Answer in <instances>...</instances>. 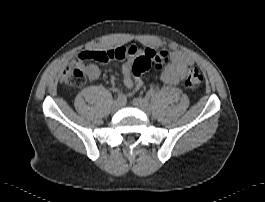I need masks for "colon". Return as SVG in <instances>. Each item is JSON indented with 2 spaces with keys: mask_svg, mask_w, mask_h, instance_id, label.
I'll return each instance as SVG.
<instances>
[{
  "mask_svg": "<svg viewBox=\"0 0 265 202\" xmlns=\"http://www.w3.org/2000/svg\"><path fill=\"white\" fill-rule=\"evenodd\" d=\"M82 62L91 60L98 62H108L114 60H122L125 54L122 50L111 49L106 52L82 51L80 52ZM169 59V55L165 51L153 52L147 51L144 55L136 57L131 65L133 75L139 76L150 70L151 68L162 67ZM62 83L71 87L83 86L86 81V75L81 65L69 66L63 73ZM203 82L200 71L195 66H190L186 72L184 84L190 90H196Z\"/></svg>",
  "mask_w": 265,
  "mask_h": 202,
  "instance_id": "colon-1",
  "label": "colon"
}]
</instances>
